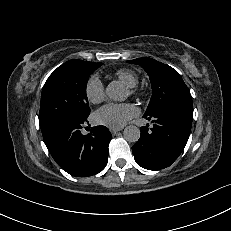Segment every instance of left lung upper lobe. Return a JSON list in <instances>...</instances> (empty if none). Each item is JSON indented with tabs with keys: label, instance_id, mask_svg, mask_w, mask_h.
<instances>
[{
	"label": "left lung upper lobe",
	"instance_id": "left-lung-upper-lobe-1",
	"mask_svg": "<svg viewBox=\"0 0 231 231\" xmlns=\"http://www.w3.org/2000/svg\"><path fill=\"white\" fill-rule=\"evenodd\" d=\"M138 64L148 73L152 85V97L145 114H149L170 102H189L192 97L180 74L172 67L148 57L128 61Z\"/></svg>",
	"mask_w": 231,
	"mask_h": 231
}]
</instances>
